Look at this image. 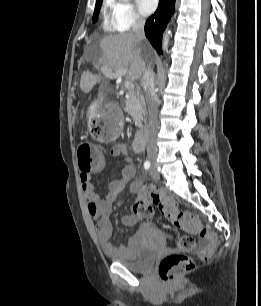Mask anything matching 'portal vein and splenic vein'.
Masks as SVG:
<instances>
[{
    "mask_svg": "<svg viewBox=\"0 0 261 306\" xmlns=\"http://www.w3.org/2000/svg\"><path fill=\"white\" fill-rule=\"evenodd\" d=\"M127 72H128L127 69H123V70L118 71V72H115V73H112L109 69H104V70H103V73H104V74L112 75V76H114V77H121V76H124V75L127 74ZM124 85H125V87H126L127 89H129V90L134 89V84H133L131 81L126 80V81L124 82Z\"/></svg>",
    "mask_w": 261,
    "mask_h": 306,
    "instance_id": "1",
    "label": "portal vein and splenic vein"
}]
</instances>
